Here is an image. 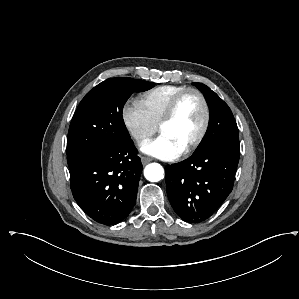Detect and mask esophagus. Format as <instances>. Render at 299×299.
<instances>
[{"label": "esophagus", "mask_w": 299, "mask_h": 299, "mask_svg": "<svg viewBox=\"0 0 299 299\" xmlns=\"http://www.w3.org/2000/svg\"><path fill=\"white\" fill-rule=\"evenodd\" d=\"M151 161H152V159L150 157H146V156L141 157V162L143 165H146L147 163H149Z\"/></svg>", "instance_id": "1"}]
</instances>
